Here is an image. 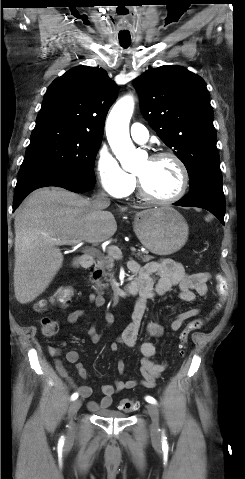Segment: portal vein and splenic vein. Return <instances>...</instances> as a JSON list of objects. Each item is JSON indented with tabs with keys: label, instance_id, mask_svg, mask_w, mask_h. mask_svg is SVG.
<instances>
[{
	"label": "portal vein and splenic vein",
	"instance_id": "1",
	"mask_svg": "<svg viewBox=\"0 0 245 479\" xmlns=\"http://www.w3.org/2000/svg\"><path fill=\"white\" fill-rule=\"evenodd\" d=\"M80 241H81V240H78V239H72V240L65 241V243H63V244H67V245H71V246H75V247H76V246H78V244H79ZM130 250H131L132 252H135V251H136V248L133 247V246H131V247H130ZM107 252H108V254L111 255L113 258H116V259L122 258V251H121V249H120L119 247H117V246H109V247L107 248Z\"/></svg>",
	"mask_w": 245,
	"mask_h": 479
}]
</instances>
